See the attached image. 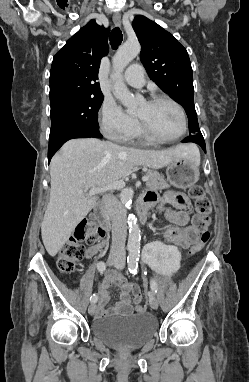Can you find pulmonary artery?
<instances>
[{
	"instance_id": "e3ab8cb5",
	"label": "pulmonary artery",
	"mask_w": 249,
	"mask_h": 382,
	"mask_svg": "<svg viewBox=\"0 0 249 382\" xmlns=\"http://www.w3.org/2000/svg\"><path fill=\"white\" fill-rule=\"evenodd\" d=\"M123 80L133 87H142L145 83L143 66L139 63L131 64L124 72Z\"/></svg>"
}]
</instances>
